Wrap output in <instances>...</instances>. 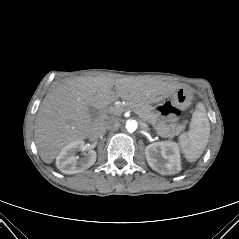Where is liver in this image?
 <instances>
[{"mask_svg":"<svg viewBox=\"0 0 239 239\" xmlns=\"http://www.w3.org/2000/svg\"><path fill=\"white\" fill-rule=\"evenodd\" d=\"M166 84L144 77L76 76L55 82L35 120L34 138L41 159L50 164L72 142L89 137L97 127L89 107L103 110L121 98L149 103L166 92Z\"/></svg>","mask_w":239,"mask_h":239,"instance_id":"obj_1","label":"liver"}]
</instances>
